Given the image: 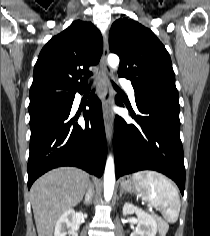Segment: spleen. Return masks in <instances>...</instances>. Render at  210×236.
I'll list each match as a JSON object with an SVG mask.
<instances>
[{"label": "spleen", "mask_w": 210, "mask_h": 236, "mask_svg": "<svg viewBox=\"0 0 210 236\" xmlns=\"http://www.w3.org/2000/svg\"><path fill=\"white\" fill-rule=\"evenodd\" d=\"M132 178L144 200L161 209L163 217L169 223L177 221L181 206L180 198L177 189L166 177L155 171H146L134 173Z\"/></svg>", "instance_id": "obj_1"}]
</instances>
